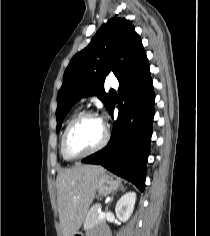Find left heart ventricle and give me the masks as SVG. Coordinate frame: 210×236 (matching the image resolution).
Here are the masks:
<instances>
[{"label":"left heart ventricle","mask_w":210,"mask_h":236,"mask_svg":"<svg viewBox=\"0 0 210 236\" xmlns=\"http://www.w3.org/2000/svg\"><path fill=\"white\" fill-rule=\"evenodd\" d=\"M103 125L96 118H85L72 129L68 139L71 154L83 153L95 147L103 137Z\"/></svg>","instance_id":"b2bd125f"}]
</instances>
